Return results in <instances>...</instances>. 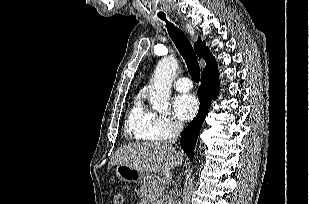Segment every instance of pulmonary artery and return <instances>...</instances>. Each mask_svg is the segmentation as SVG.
I'll list each match as a JSON object with an SVG mask.
<instances>
[{
  "label": "pulmonary artery",
  "instance_id": "e3ab8cb5",
  "mask_svg": "<svg viewBox=\"0 0 309 204\" xmlns=\"http://www.w3.org/2000/svg\"><path fill=\"white\" fill-rule=\"evenodd\" d=\"M173 86L179 92H187L192 89L193 84L189 78L181 77L174 81Z\"/></svg>",
  "mask_w": 309,
  "mask_h": 204
}]
</instances>
